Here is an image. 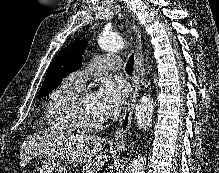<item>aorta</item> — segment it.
<instances>
[{
    "label": "aorta",
    "mask_w": 219,
    "mask_h": 173,
    "mask_svg": "<svg viewBox=\"0 0 219 173\" xmlns=\"http://www.w3.org/2000/svg\"><path fill=\"white\" fill-rule=\"evenodd\" d=\"M100 48L107 52H116L125 48V40L114 33H102L98 37ZM154 111L153 99L150 95H144L138 101L135 108L136 121L139 128L147 130L152 122ZM146 157L138 155L127 166L125 173H144Z\"/></svg>",
    "instance_id": "aorta-1"
}]
</instances>
